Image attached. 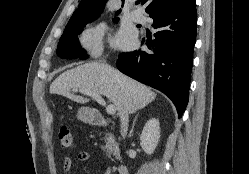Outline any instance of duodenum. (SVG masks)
Segmentation results:
<instances>
[{
    "mask_svg": "<svg viewBox=\"0 0 249 174\" xmlns=\"http://www.w3.org/2000/svg\"><path fill=\"white\" fill-rule=\"evenodd\" d=\"M90 121L93 125L99 126V127H104L109 129L110 131L115 130V126L113 123L105 119L100 113L98 112H93L90 116ZM117 172L118 174H129V168L125 164H119L117 166Z\"/></svg>",
    "mask_w": 249,
    "mask_h": 174,
    "instance_id": "duodenum-1",
    "label": "duodenum"
}]
</instances>
